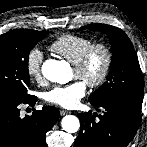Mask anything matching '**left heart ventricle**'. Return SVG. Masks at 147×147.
<instances>
[{"instance_id":"obj_1","label":"left heart ventricle","mask_w":147,"mask_h":147,"mask_svg":"<svg viewBox=\"0 0 147 147\" xmlns=\"http://www.w3.org/2000/svg\"><path fill=\"white\" fill-rule=\"evenodd\" d=\"M104 65V55L101 51H97L90 63L88 64L85 71L81 74H78L74 69L72 71V78L83 80L87 82L89 80L95 79L101 72Z\"/></svg>"}]
</instances>
